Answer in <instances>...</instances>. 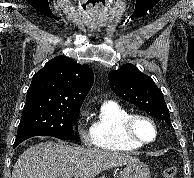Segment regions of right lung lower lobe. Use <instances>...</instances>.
I'll return each mask as SVG.
<instances>
[{
	"mask_svg": "<svg viewBox=\"0 0 194 178\" xmlns=\"http://www.w3.org/2000/svg\"><path fill=\"white\" fill-rule=\"evenodd\" d=\"M33 137V136H26V137H22V138H16L13 148H15L17 145H19L21 142L25 141L26 139Z\"/></svg>",
	"mask_w": 194,
	"mask_h": 178,
	"instance_id": "98d812e1",
	"label": "right lung lower lobe"
}]
</instances>
